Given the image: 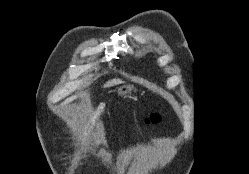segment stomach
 I'll use <instances>...</instances> for the list:
<instances>
[{"label": "stomach", "instance_id": "stomach-1", "mask_svg": "<svg viewBox=\"0 0 249 174\" xmlns=\"http://www.w3.org/2000/svg\"><path fill=\"white\" fill-rule=\"evenodd\" d=\"M133 90H134L133 85H122V86L118 87L117 94H118V96H126V95L130 94Z\"/></svg>", "mask_w": 249, "mask_h": 174}]
</instances>
